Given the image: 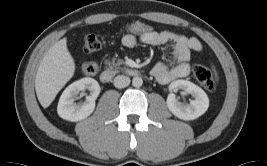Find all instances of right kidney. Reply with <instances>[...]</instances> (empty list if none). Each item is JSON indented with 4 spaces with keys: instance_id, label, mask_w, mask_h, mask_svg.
I'll list each match as a JSON object with an SVG mask.
<instances>
[{
    "instance_id": "obj_1",
    "label": "right kidney",
    "mask_w": 267,
    "mask_h": 166,
    "mask_svg": "<svg viewBox=\"0 0 267 166\" xmlns=\"http://www.w3.org/2000/svg\"><path fill=\"white\" fill-rule=\"evenodd\" d=\"M88 89L91 95L83 103H75L77 95ZM100 93L99 83L90 77L70 84L62 93L57 107L58 115L68 121L76 122L88 117L95 108V100Z\"/></svg>"
}]
</instances>
